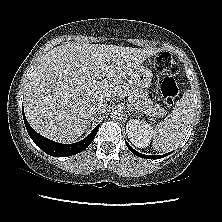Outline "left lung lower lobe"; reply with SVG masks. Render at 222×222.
<instances>
[{
    "mask_svg": "<svg viewBox=\"0 0 222 222\" xmlns=\"http://www.w3.org/2000/svg\"><path fill=\"white\" fill-rule=\"evenodd\" d=\"M128 148L137 156L142 157V158H146V159H159L162 157L167 156L169 153L164 154V155H159V156H151V155H145V154H141L139 152H137L136 150H134L128 143H126Z\"/></svg>",
    "mask_w": 222,
    "mask_h": 222,
    "instance_id": "0a47b994",
    "label": "left lung lower lobe"
}]
</instances>
